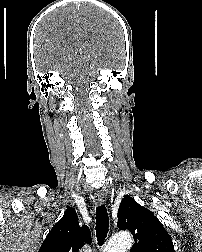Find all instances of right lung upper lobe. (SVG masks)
Wrapping results in <instances>:
<instances>
[{
	"instance_id": "obj_1",
	"label": "right lung upper lobe",
	"mask_w": 202,
	"mask_h": 252,
	"mask_svg": "<svg viewBox=\"0 0 202 252\" xmlns=\"http://www.w3.org/2000/svg\"><path fill=\"white\" fill-rule=\"evenodd\" d=\"M88 226H79L77 213L68 208L44 240L39 252H78L85 243L90 244Z\"/></svg>"
}]
</instances>
